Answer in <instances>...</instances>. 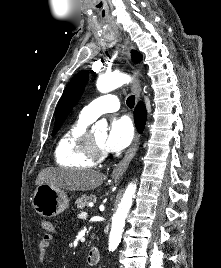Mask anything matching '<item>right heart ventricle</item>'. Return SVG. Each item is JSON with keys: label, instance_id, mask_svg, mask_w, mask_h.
I'll return each mask as SVG.
<instances>
[{"label": "right heart ventricle", "instance_id": "obj_1", "mask_svg": "<svg viewBox=\"0 0 221 268\" xmlns=\"http://www.w3.org/2000/svg\"><path fill=\"white\" fill-rule=\"evenodd\" d=\"M91 120L80 114L61 134L55 148L58 165L71 168H90L94 160L88 157L83 147V138Z\"/></svg>", "mask_w": 221, "mask_h": 268}]
</instances>
